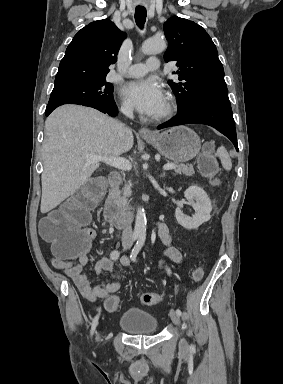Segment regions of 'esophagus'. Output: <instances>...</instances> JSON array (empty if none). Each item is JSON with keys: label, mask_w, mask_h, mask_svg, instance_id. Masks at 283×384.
Instances as JSON below:
<instances>
[{"label": "esophagus", "mask_w": 283, "mask_h": 384, "mask_svg": "<svg viewBox=\"0 0 283 384\" xmlns=\"http://www.w3.org/2000/svg\"><path fill=\"white\" fill-rule=\"evenodd\" d=\"M139 135L143 137H155L156 134L151 130L147 129L146 127H142L141 129H139Z\"/></svg>", "instance_id": "obj_1"}]
</instances>
